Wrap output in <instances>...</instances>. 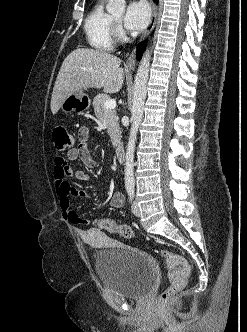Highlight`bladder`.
Masks as SVG:
<instances>
[{
  "mask_svg": "<svg viewBox=\"0 0 247 332\" xmlns=\"http://www.w3.org/2000/svg\"><path fill=\"white\" fill-rule=\"evenodd\" d=\"M95 268L104 288L130 299L143 298L156 279L152 256L123 243L99 250Z\"/></svg>",
  "mask_w": 247,
  "mask_h": 332,
  "instance_id": "obj_1",
  "label": "bladder"
}]
</instances>
